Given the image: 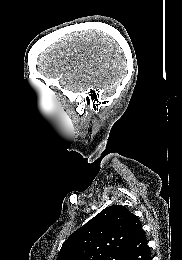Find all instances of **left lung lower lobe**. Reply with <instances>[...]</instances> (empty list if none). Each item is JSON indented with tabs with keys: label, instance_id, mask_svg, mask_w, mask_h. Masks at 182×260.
Returning a JSON list of instances; mask_svg holds the SVG:
<instances>
[{
	"label": "left lung lower lobe",
	"instance_id": "obj_1",
	"mask_svg": "<svg viewBox=\"0 0 182 260\" xmlns=\"http://www.w3.org/2000/svg\"><path fill=\"white\" fill-rule=\"evenodd\" d=\"M121 260H152L151 250L142 227L131 240Z\"/></svg>",
	"mask_w": 182,
	"mask_h": 260
}]
</instances>
